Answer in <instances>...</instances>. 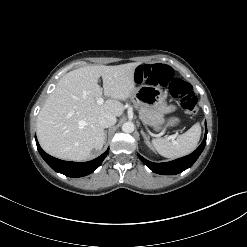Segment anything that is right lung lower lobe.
<instances>
[{
    "mask_svg": "<svg viewBox=\"0 0 247 247\" xmlns=\"http://www.w3.org/2000/svg\"><path fill=\"white\" fill-rule=\"evenodd\" d=\"M36 144L40 155L46 161V163L56 172L64 174L65 176L68 177H83L94 172L101 165V163L106 158L109 152L108 149L101 156H99L98 158L92 161L78 163V162L63 161L54 158L42 150L37 139H36Z\"/></svg>",
    "mask_w": 247,
    "mask_h": 247,
    "instance_id": "right-lung-lower-lobe-1",
    "label": "right lung lower lobe"
}]
</instances>
